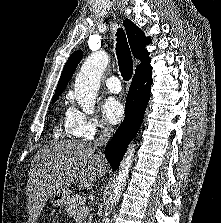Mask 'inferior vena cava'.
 <instances>
[{
  "label": "inferior vena cava",
  "mask_w": 221,
  "mask_h": 223,
  "mask_svg": "<svg viewBox=\"0 0 221 223\" xmlns=\"http://www.w3.org/2000/svg\"><path fill=\"white\" fill-rule=\"evenodd\" d=\"M100 128L102 129L101 134L98 139L94 142L95 146H102L106 144L110 138L111 134V128L106 125H100Z\"/></svg>",
  "instance_id": "obj_1"
}]
</instances>
